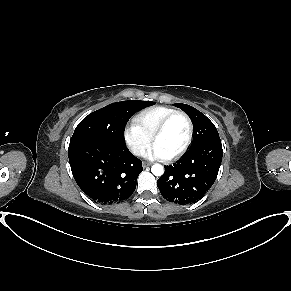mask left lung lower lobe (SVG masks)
<instances>
[{
	"label": "left lung lower lobe",
	"mask_w": 291,
	"mask_h": 291,
	"mask_svg": "<svg viewBox=\"0 0 291 291\" xmlns=\"http://www.w3.org/2000/svg\"><path fill=\"white\" fill-rule=\"evenodd\" d=\"M220 138H213L189 149L177 163L165 167L157 180L161 195L180 205L200 200L214 184L222 161Z\"/></svg>",
	"instance_id": "1"
}]
</instances>
